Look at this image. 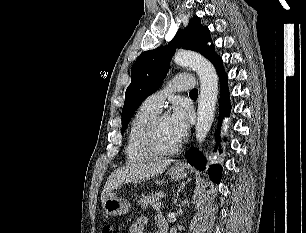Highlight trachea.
<instances>
[{
	"label": "trachea",
	"instance_id": "trachea-1",
	"mask_svg": "<svg viewBox=\"0 0 306 233\" xmlns=\"http://www.w3.org/2000/svg\"><path fill=\"white\" fill-rule=\"evenodd\" d=\"M198 94V90L197 89H193L190 91V95H197Z\"/></svg>",
	"mask_w": 306,
	"mask_h": 233
}]
</instances>
